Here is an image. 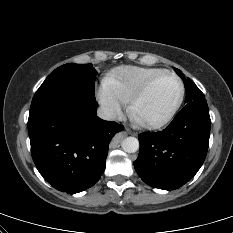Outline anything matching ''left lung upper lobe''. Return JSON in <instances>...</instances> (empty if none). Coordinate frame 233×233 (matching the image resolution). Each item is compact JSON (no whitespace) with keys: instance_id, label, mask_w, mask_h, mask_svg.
Returning a JSON list of instances; mask_svg holds the SVG:
<instances>
[{"instance_id":"5c2ea615","label":"left lung upper lobe","mask_w":233,"mask_h":233,"mask_svg":"<svg viewBox=\"0 0 233 233\" xmlns=\"http://www.w3.org/2000/svg\"><path fill=\"white\" fill-rule=\"evenodd\" d=\"M175 72L183 79L186 89V98L185 102L189 103L193 100L202 99L204 98V94L200 91V89L195 85V83L190 79H185V76L182 72L174 68Z\"/></svg>"}]
</instances>
